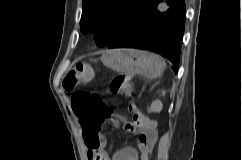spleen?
<instances>
[{
    "mask_svg": "<svg viewBox=\"0 0 242 160\" xmlns=\"http://www.w3.org/2000/svg\"><path fill=\"white\" fill-rule=\"evenodd\" d=\"M157 58H158V60L160 62V65H161V73H162V71H163V69H164V67H165L166 64H165V62L159 56H157Z\"/></svg>",
    "mask_w": 242,
    "mask_h": 160,
    "instance_id": "1",
    "label": "spleen"
}]
</instances>
